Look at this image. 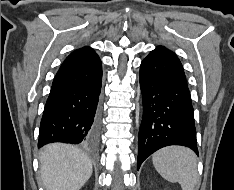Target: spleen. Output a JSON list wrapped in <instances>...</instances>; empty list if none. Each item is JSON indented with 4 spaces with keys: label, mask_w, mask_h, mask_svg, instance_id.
Instances as JSON below:
<instances>
[{
    "label": "spleen",
    "mask_w": 234,
    "mask_h": 190,
    "mask_svg": "<svg viewBox=\"0 0 234 190\" xmlns=\"http://www.w3.org/2000/svg\"><path fill=\"white\" fill-rule=\"evenodd\" d=\"M156 171L167 181L179 183L182 190H195L198 180L195 153L180 146L165 147L152 156Z\"/></svg>",
    "instance_id": "spleen-1"
}]
</instances>
